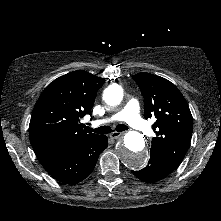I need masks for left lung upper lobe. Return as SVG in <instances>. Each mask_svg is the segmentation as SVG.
Returning a JSON list of instances; mask_svg holds the SVG:
<instances>
[{
	"instance_id": "1",
	"label": "left lung upper lobe",
	"mask_w": 221,
	"mask_h": 221,
	"mask_svg": "<svg viewBox=\"0 0 221 221\" xmlns=\"http://www.w3.org/2000/svg\"><path fill=\"white\" fill-rule=\"evenodd\" d=\"M138 84L145 102L144 116L156 118L150 155H155L171 171L182 162L191 142L193 118L182 93L165 78L138 73Z\"/></svg>"
}]
</instances>
